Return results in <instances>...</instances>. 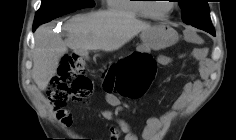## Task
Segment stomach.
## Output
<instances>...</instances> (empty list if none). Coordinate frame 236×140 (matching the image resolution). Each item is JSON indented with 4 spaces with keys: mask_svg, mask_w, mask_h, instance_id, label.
<instances>
[{
    "mask_svg": "<svg viewBox=\"0 0 236 140\" xmlns=\"http://www.w3.org/2000/svg\"><path fill=\"white\" fill-rule=\"evenodd\" d=\"M178 33L166 23H160L143 33L145 49L160 50L177 43Z\"/></svg>",
    "mask_w": 236,
    "mask_h": 140,
    "instance_id": "stomach-1",
    "label": "stomach"
}]
</instances>
